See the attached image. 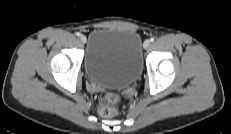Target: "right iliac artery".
Listing matches in <instances>:
<instances>
[{
    "label": "right iliac artery",
    "mask_w": 231,
    "mask_h": 134,
    "mask_svg": "<svg viewBox=\"0 0 231 134\" xmlns=\"http://www.w3.org/2000/svg\"><path fill=\"white\" fill-rule=\"evenodd\" d=\"M76 36H78V37L81 36L80 32H77V33H76Z\"/></svg>",
    "instance_id": "1"
}]
</instances>
